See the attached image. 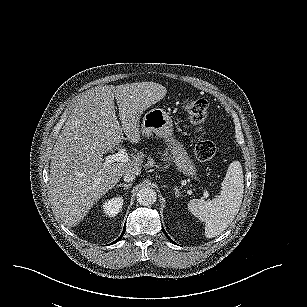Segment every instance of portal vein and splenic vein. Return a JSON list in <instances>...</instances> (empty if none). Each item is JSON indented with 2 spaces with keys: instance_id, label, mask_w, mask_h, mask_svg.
Instances as JSON below:
<instances>
[{
  "instance_id": "18ae733b",
  "label": "portal vein and splenic vein",
  "mask_w": 307,
  "mask_h": 307,
  "mask_svg": "<svg viewBox=\"0 0 307 307\" xmlns=\"http://www.w3.org/2000/svg\"><path fill=\"white\" fill-rule=\"evenodd\" d=\"M129 160L130 158L127 153V150L125 148H121L117 153L106 156L104 165H109L114 162H128ZM204 196H209L207 191L204 192Z\"/></svg>"
}]
</instances>
